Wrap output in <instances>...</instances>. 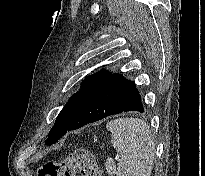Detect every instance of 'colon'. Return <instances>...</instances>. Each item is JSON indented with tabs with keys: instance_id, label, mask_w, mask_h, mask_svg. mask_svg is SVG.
I'll return each instance as SVG.
<instances>
[{
	"instance_id": "obj_1",
	"label": "colon",
	"mask_w": 205,
	"mask_h": 176,
	"mask_svg": "<svg viewBox=\"0 0 205 176\" xmlns=\"http://www.w3.org/2000/svg\"><path fill=\"white\" fill-rule=\"evenodd\" d=\"M102 176L98 162L90 151L77 150L59 162H50L38 169V176Z\"/></svg>"
}]
</instances>
